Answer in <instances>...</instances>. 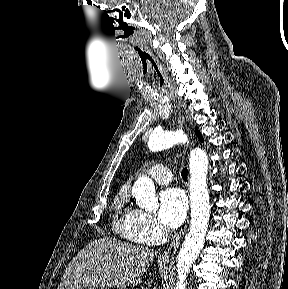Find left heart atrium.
<instances>
[{"label":"left heart atrium","instance_id":"1","mask_svg":"<svg viewBox=\"0 0 288 289\" xmlns=\"http://www.w3.org/2000/svg\"><path fill=\"white\" fill-rule=\"evenodd\" d=\"M187 212V201L179 188H167L159 194L158 217L167 227H178Z\"/></svg>","mask_w":288,"mask_h":289}]
</instances>
